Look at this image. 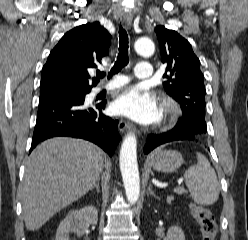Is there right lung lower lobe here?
Here are the masks:
<instances>
[{
	"mask_svg": "<svg viewBox=\"0 0 248 240\" xmlns=\"http://www.w3.org/2000/svg\"><path fill=\"white\" fill-rule=\"evenodd\" d=\"M84 100L85 95L39 101L30 152L48 138L69 136L89 140L111 156L120 140L118 120L102 114L106 101L85 107Z\"/></svg>",
	"mask_w": 248,
	"mask_h": 240,
	"instance_id": "right-lung-lower-lobe-1",
	"label": "right lung lower lobe"
}]
</instances>
